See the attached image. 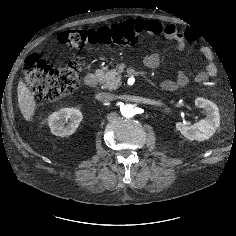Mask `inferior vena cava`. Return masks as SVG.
<instances>
[{"label": "inferior vena cava", "instance_id": "obj_1", "mask_svg": "<svg viewBox=\"0 0 236 236\" xmlns=\"http://www.w3.org/2000/svg\"><path fill=\"white\" fill-rule=\"evenodd\" d=\"M96 98L101 102H109L114 99V95L111 93L102 92V93H98L96 95Z\"/></svg>", "mask_w": 236, "mask_h": 236}]
</instances>
